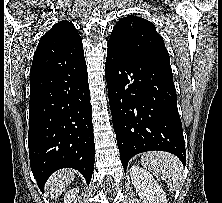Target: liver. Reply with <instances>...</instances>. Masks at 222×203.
I'll list each match as a JSON object with an SVG mask.
<instances>
[{
  "mask_svg": "<svg viewBox=\"0 0 222 203\" xmlns=\"http://www.w3.org/2000/svg\"><path fill=\"white\" fill-rule=\"evenodd\" d=\"M75 174L76 172L73 169H62L53 173L46 182V192L50 198H58L74 180Z\"/></svg>",
  "mask_w": 222,
  "mask_h": 203,
  "instance_id": "obj_1",
  "label": "liver"
}]
</instances>
